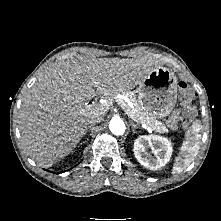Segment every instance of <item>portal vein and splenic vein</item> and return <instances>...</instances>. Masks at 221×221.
I'll use <instances>...</instances> for the list:
<instances>
[{"label": "portal vein and splenic vein", "mask_w": 221, "mask_h": 221, "mask_svg": "<svg viewBox=\"0 0 221 221\" xmlns=\"http://www.w3.org/2000/svg\"><path fill=\"white\" fill-rule=\"evenodd\" d=\"M119 105H120L123 109H125V107H126V105H125L124 103H122V102H119ZM85 106H86V110H87V111H90L91 113L96 114V115L104 114V113L107 111V109H108V107H107L106 104H101V105H98V106H94V105H92V104L86 103ZM128 107L133 108L132 103L129 102V101H128ZM139 123H142V125H143L144 127H147L148 129L151 130V128H150L146 123H144V122H142V121H140Z\"/></svg>", "instance_id": "obj_1"}]
</instances>
